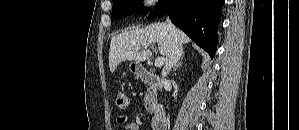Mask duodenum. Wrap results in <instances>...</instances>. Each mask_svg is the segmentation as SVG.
Segmentation results:
<instances>
[{"instance_id": "duodenum-1", "label": "duodenum", "mask_w": 299, "mask_h": 130, "mask_svg": "<svg viewBox=\"0 0 299 130\" xmlns=\"http://www.w3.org/2000/svg\"><path fill=\"white\" fill-rule=\"evenodd\" d=\"M138 76L145 82L151 84L156 89H161L163 87L160 77L143 67L137 69ZM167 125L166 121V110L164 106L158 105L155 109V114L152 118V127L154 130H165Z\"/></svg>"}]
</instances>
